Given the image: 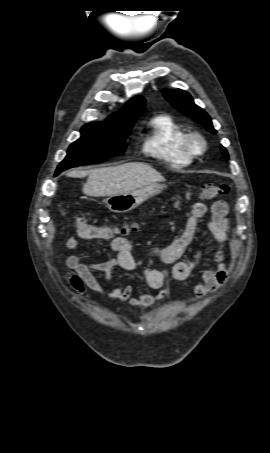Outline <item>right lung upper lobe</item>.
Returning <instances> with one entry per match:
<instances>
[{
    "mask_svg": "<svg viewBox=\"0 0 270 453\" xmlns=\"http://www.w3.org/2000/svg\"><path fill=\"white\" fill-rule=\"evenodd\" d=\"M145 111V100L142 97L131 99L118 113L112 114L105 122H98L113 128H126Z\"/></svg>",
    "mask_w": 270,
    "mask_h": 453,
    "instance_id": "1",
    "label": "right lung upper lobe"
}]
</instances>
